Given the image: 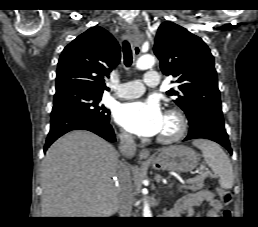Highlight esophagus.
I'll return each mask as SVG.
<instances>
[{
	"instance_id": "obj_1",
	"label": "esophagus",
	"mask_w": 258,
	"mask_h": 227,
	"mask_svg": "<svg viewBox=\"0 0 258 227\" xmlns=\"http://www.w3.org/2000/svg\"><path fill=\"white\" fill-rule=\"evenodd\" d=\"M127 34H128L130 41L133 44L134 53L138 55L139 51H140V47L138 44V41H139L138 32L134 28L129 27L127 30ZM149 156H150V151L148 149L144 148V149L140 150V152H139L140 160H149Z\"/></svg>"
}]
</instances>
